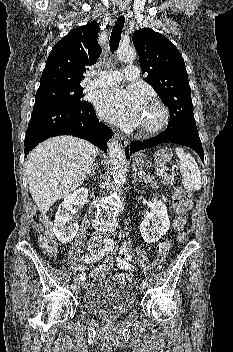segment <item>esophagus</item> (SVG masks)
I'll return each instance as SVG.
<instances>
[{"instance_id": "obj_1", "label": "esophagus", "mask_w": 233, "mask_h": 352, "mask_svg": "<svg viewBox=\"0 0 233 352\" xmlns=\"http://www.w3.org/2000/svg\"><path fill=\"white\" fill-rule=\"evenodd\" d=\"M121 12H124V9H120ZM116 139L119 143L120 147H125L128 144V140L126 139V137L124 135H121L119 133H116Z\"/></svg>"}]
</instances>
